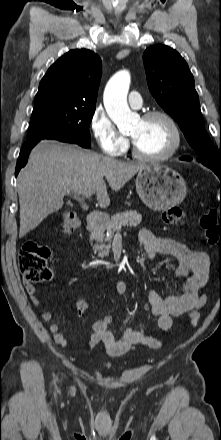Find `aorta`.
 <instances>
[{
  "mask_svg": "<svg viewBox=\"0 0 221 440\" xmlns=\"http://www.w3.org/2000/svg\"><path fill=\"white\" fill-rule=\"evenodd\" d=\"M129 86L130 74L127 71H119L111 77L104 90L105 109L119 129L129 125L133 117L127 104Z\"/></svg>",
  "mask_w": 221,
  "mask_h": 440,
  "instance_id": "obj_1",
  "label": "aorta"
}]
</instances>
